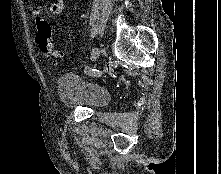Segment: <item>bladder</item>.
<instances>
[{
  "instance_id": "bladder-1",
  "label": "bladder",
  "mask_w": 221,
  "mask_h": 174,
  "mask_svg": "<svg viewBox=\"0 0 221 174\" xmlns=\"http://www.w3.org/2000/svg\"><path fill=\"white\" fill-rule=\"evenodd\" d=\"M57 96L66 108L104 107L110 99L108 91L93 82L87 81L74 73H66L57 79Z\"/></svg>"
}]
</instances>
